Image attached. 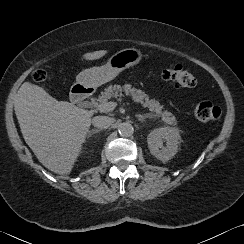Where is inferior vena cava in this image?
<instances>
[{"label": "inferior vena cava", "instance_id": "1", "mask_svg": "<svg viewBox=\"0 0 244 244\" xmlns=\"http://www.w3.org/2000/svg\"><path fill=\"white\" fill-rule=\"evenodd\" d=\"M113 121L110 117L107 116H95L92 119V124L100 129H107L112 125Z\"/></svg>", "mask_w": 244, "mask_h": 244}]
</instances>
